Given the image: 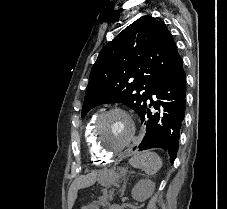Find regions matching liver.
Masks as SVG:
<instances>
[{"instance_id":"1","label":"liver","mask_w":227,"mask_h":209,"mask_svg":"<svg viewBox=\"0 0 227 209\" xmlns=\"http://www.w3.org/2000/svg\"><path fill=\"white\" fill-rule=\"evenodd\" d=\"M91 175H93V173H90V175H82V177H80V179H88V177H91ZM77 181H74V183H72L70 189H69V193H68V209H72L73 205H74V201L76 199V191L75 193H73V189L76 185Z\"/></svg>"}]
</instances>
